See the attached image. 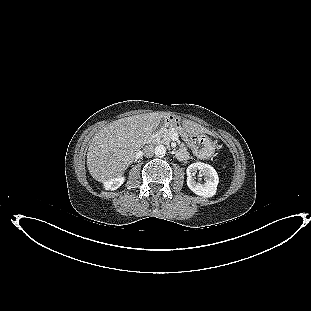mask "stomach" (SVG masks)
<instances>
[{
    "label": "stomach",
    "instance_id": "0dacf381",
    "mask_svg": "<svg viewBox=\"0 0 311 311\" xmlns=\"http://www.w3.org/2000/svg\"><path fill=\"white\" fill-rule=\"evenodd\" d=\"M167 118L169 119L170 116H168ZM170 121L175 129L179 131L186 139L194 155L199 158H209L214 154L215 147L208 136L198 132H191L188 128L184 126L183 121H180L177 117L173 118Z\"/></svg>",
    "mask_w": 311,
    "mask_h": 311
}]
</instances>
